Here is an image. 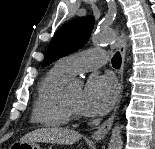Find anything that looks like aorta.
Wrapping results in <instances>:
<instances>
[{
  "mask_svg": "<svg viewBox=\"0 0 155 149\" xmlns=\"http://www.w3.org/2000/svg\"><path fill=\"white\" fill-rule=\"evenodd\" d=\"M92 41L95 45L115 44L117 39L111 30H104L93 36ZM121 128L122 126L119 124L114 126L108 143V149H122Z\"/></svg>",
  "mask_w": 155,
  "mask_h": 149,
  "instance_id": "aorta-1",
  "label": "aorta"
}]
</instances>
